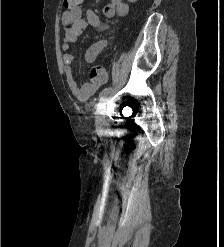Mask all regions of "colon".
<instances>
[{"label": "colon", "instance_id": "obj_1", "mask_svg": "<svg viewBox=\"0 0 224 247\" xmlns=\"http://www.w3.org/2000/svg\"><path fill=\"white\" fill-rule=\"evenodd\" d=\"M83 0H64L63 6L66 10H71L79 6ZM90 75L93 82H102L106 78L105 68L101 64H96L91 68Z\"/></svg>", "mask_w": 224, "mask_h": 247}]
</instances>
